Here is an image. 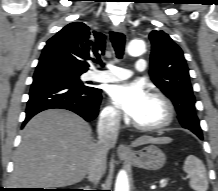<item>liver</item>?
<instances>
[{
	"mask_svg": "<svg viewBox=\"0 0 218 191\" xmlns=\"http://www.w3.org/2000/svg\"><path fill=\"white\" fill-rule=\"evenodd\" d=\"M91 133L90 125L70 111L50 109L37 114L23 129L14 156L12 185L48 189L82 181L97 151ZM171 141L169 137L142 136L132 145Z\"/></svg>",
	"mask_w": 218,
	"mask_h": 191,
	"instance_id": "liver-1",
	"label": "liver"
}]
</instances>
